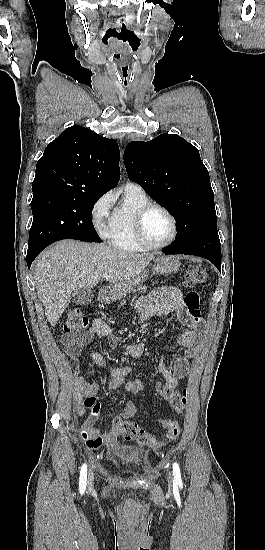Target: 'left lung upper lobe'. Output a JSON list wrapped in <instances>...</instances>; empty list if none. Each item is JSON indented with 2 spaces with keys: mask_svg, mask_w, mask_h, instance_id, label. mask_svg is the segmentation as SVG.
<instances>
[{
  "mask_svg": "<svg viewBox=\"0 0 265 550\" xmlns=\"http://www.w3.org/2000/svg\"><path fill=\"white\" fill-rule=\"evenodd\" d=\"M129 178L175 218L180 250L221 256L214 193L199 151L176 134L134 141L124 151Z\"/></svg>",
  "mask_w": 265,
  "mask_h": 550,
  "instance_id": "left-lung-upper-lobe-1",
  "label": "left lung upper lobe"
}]
</instances>
